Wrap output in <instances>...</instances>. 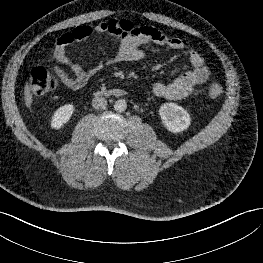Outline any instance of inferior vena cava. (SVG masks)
<instances>
[{
	"mask_svg": "<svg viewBox=\"0 0 263 263\" xmlns=\"http://www.w3.org/2000/svg\"><path fill=\"white\" fill-rule=\"evenodd\" d=\"M92 106L95 109H105L107 106V100L104 97H95L92 100Z\"/></svg>",
	"mask_w": 263,
	"mask_h": 263,
	"instance_id": "inferior-vena-cava-1",
	"label": "inferior vena cava"
}]
</instances>
